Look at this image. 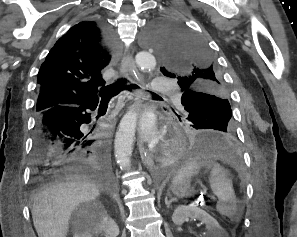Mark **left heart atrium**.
I'll return each instance as SVG.
<instances>
[{
	"label": "left heart atrium",
	"instance_id": "left-heart-atrium-1",
	"mask_svg": "<svg viewBox=\"0 0 297 237\" xmlns=\"http://www.w3.org/2000/svg\"><path fill=\"white\" fill-rule=\"evenodd\" d=\"M138 131L143 140L153 141L157 137V129L150 115L144 114L138 120Z\"/></svg>",
	"mask_w": 297,
	"mask_h": 237
}]
</instances>
